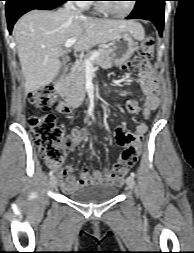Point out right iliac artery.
<instances>
[{
  "instance_id": "obj_1",
  "label": "right iliac artery",
  "mask_w": 194,
  "mask_h": 253,
  "mask_svg": "<svg viewBox=\"0 0 194 253\" xmlns=\"http://www.w3.org/2000/svg\"><path fill=\"white\" fill-rule=\"evenodd\" d=\"M53 173H54V171L52 170V171H50L49 172V176H53Z\"/></svg>"
}]
</instances>
